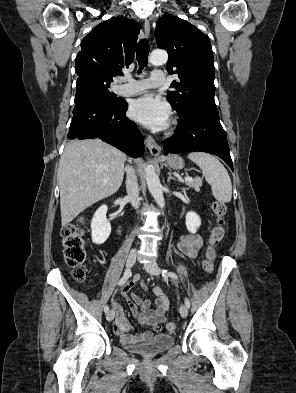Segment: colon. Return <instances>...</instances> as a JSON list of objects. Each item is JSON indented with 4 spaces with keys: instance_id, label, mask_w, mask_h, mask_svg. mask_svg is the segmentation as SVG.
<instances>
[{
    "instance_id": "obj_1",
    "label": "colon",
    "mask_w": 296,
    "mask_h": 393,
    "mask_svg": "<svg viewBox=\"0 0 296 393\" xmlns=\"http://www.w3.org/2000/svg\"><path fill=\"white\" fill-rule=\"evenodd\" d=\"M211 208L216 217V222L211 231L209 246L202 262L204 270L209 274L213 271V259L210 253L224 237L225 216L227 214V206L223 202L214 201ZM80 223L81 222L78 221L67 224L63 227L61 235L64 260L68 266L73 268V275L75 279L83 281L86 276V272L83 267L86 260V249L84 243V231ZM175 328L176 325L174 322H169L167 324L168 330L173 331Z\"/></svg>"
}]
</instances>
